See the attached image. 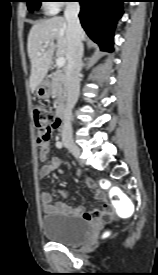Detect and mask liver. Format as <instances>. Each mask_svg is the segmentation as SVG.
Listing matches in <instances>:
<instances>
[{"label":"liver","mask_w":158,"mask_h":275,"mask_svg":"<svg viewBox=\"0 0 158 275\" xmlns=\"http://www.w3.org/2000/svg\"><path fill=\"white\" fill-rule=\"evenodd\" d=\"M68 23L64 17H52L34 24L28 35L27 50L31 62L30 88L34 92L43 81L52 62L57 57H66ZM82 40L85 33L82 32ZM56 41V43H55ZM48 49L41 51L43 45Z\"/></svg>","instance_id":"1"}]
</instances>
